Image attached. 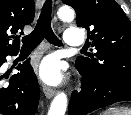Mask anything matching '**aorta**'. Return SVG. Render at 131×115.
Returning <instances> with one entry per match:
<instances>
[{
  "mask_svg": "<svg viewBox=\"0 0 131 115\" xmlns=\"http://www.w3.org/2000/svg\"><path fill=\"white\" fill-rule=\"evenodd\" d=\"M58 16L62 21H72L74 11L69 7H62L58 11ZM67 108V96L65 93H59L53 99L48 115H65Z\"/></svg>",
  "mask_w": 131,
  "mask_h": 115,
  "instance_id": "762f6f07",
  "label": "aorta"
}]
</instances>
